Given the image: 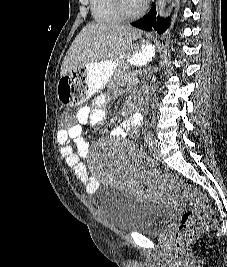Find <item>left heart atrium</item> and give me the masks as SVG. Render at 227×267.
<instances>
[{"label": "left heart atrium", "instance_id": "obj_1", "mask_svg": "<svg viewBox=\"0 0 227 267\" xmlns=\"http://www.w3.org/2000/svg\"><path fill=\"white\" fill-rule=\"evenodd\" d=\"M136 2H137V4L140 6V7H142V6H144L145 4H146V2L148 1V0H135Z\"/></svg>", "mask_w": 227, "mask_h": 267}]
</instances>
